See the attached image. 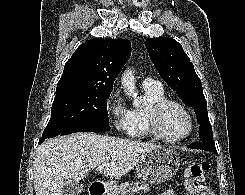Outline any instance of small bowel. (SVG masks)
I'll return each mask as SVG.
<instances>
[{
    "label": "small bowel",
    "mask_w": 245,
    "mask_h": 195,
    "mask_svg": "<svg viewBox=\"0 0 245 195\" xmlns=\"http://www.w3.org/2000/svg\"><path fill=\"white\" fill-rule=\"evenodd\" d=\"M160 195H172V192L171 191H165V192L161 193Z\"/></svg>",
    "instance_id": "1"
}]
</instances>
